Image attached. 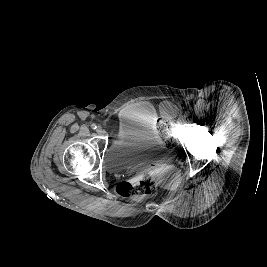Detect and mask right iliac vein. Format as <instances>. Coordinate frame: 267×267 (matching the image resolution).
Masks as SVG:
<instances>
[{"instance_id": "right-iliac-vein-1", "label": "right iliac vein", "mask_w": 267, "mask_h": 267, "mask_svg": "<svg viewBox=\"0 0 267 267\" xmlns=\"http://www.w3.org/2000/svg\"><path fill=\"white\" fill-rule=\"evenodd\" d=\"M96 132H97V134H102V128L99 126V127H97L96 128Z\"/></svg>"}]
</instances>
